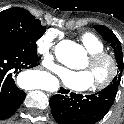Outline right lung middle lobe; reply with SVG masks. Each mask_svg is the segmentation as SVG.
Masks as SVG:
<instances>
[{"label": "right lung middle lobe", "instance_id": "dd1d6c3e", "mask_svg": "<svg viewBox=\"0 0 124 124\" xmlns=\"http://www.w3.org/2000/svg\"><path fill=\"white\" fill-rule=\"evenodd\" d=\"M45 31L46 27L23 8L14 7L0 12V40L23 43L36 50V41Z\"/></svg>", "mask_w": 124, "mask_h": 124}]
</instances>
